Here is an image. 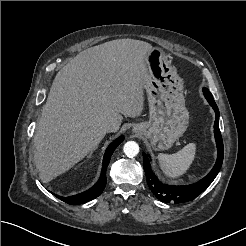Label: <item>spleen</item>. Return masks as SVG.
I'll list each match as a JSON object with an SVG mask.
<instances>
[{"instance_id":"3e777b00","label":"spleen","mask_w":246,"mask_h":246,"mask_svg":"<svg viewBox=\"0 0 246 246\" xmlns=\"http://www.w3.org/2000/svg\"><path fill=\"white\" fill-rule=\"evenodd\" d=\"M196 155V144L189 143L174 154L160 153L157 156L160 169L169 178L184 175L193 163Z\"/></svg>"}]
</instances>
